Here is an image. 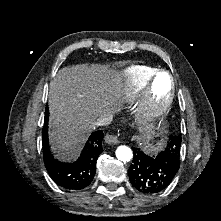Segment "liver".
Returning a JSON list of instances; mask_svg holds the SVG:
<instances>
[{
  "label": "liver",
  "instance_id": "liver-1",
  "mask_svg": "<svg viewBox=\"0 0 221 221\" xmlns=\"http://www.w3.org/2000/svg\"><path fill=\"white\" fill-rule=\"evenodd\" d=\"M122 75L108 65L79 64L58 71L49 85V138L62 159H73L103 114L121 110Z\"/></svg>",
  "mask_w": 221,
  "mask_h": 221
}]
</instances>
